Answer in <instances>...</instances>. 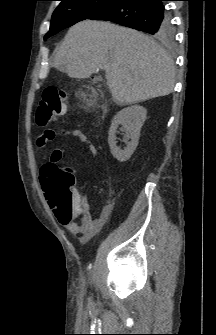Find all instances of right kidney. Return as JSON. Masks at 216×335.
I'll return each mask as SVG.
<instances>
[{
    "mask_svg": "<svg viewBox=\"0 0 216 335\" xmlns=\"http://www.w3.org/2000/svg\"><path fill=\"white\" fill-rule=\"evenodd\" d=\"M147 110L140 105H133L119 111L114 117L108 136L112 155L120 162L127 161L135 151L140 136V130L146 120ZM119 125L126 131V137L131 141L124 150L116 145V132Z\"/></svg>",
    "mask_w": 216,
    "mask_h": 335,
    "instance_id": "1",
    "label": "right kidney"
}]
</instances>
